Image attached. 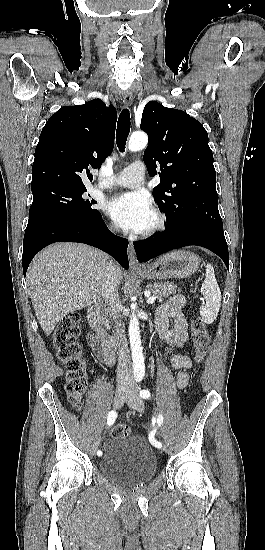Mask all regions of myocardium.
Here are the masks:
<instances>
[{"label": "myocardium", "instance_id": "obj_1", "mask_svg": "<svg viewBox=\"0 0 265 550\" xmlns=\"http://www.w3.org/2000/svg\"><path fill=\"white\" fill-rule=\"evenodd\" d=\"M152 215L154 217L153 225L141 232V235L144 237L153 236L162 231L166 226V217L164 214L158 210H153Z\"/></svg>", "mask_w": 265, "mask_h": 550}]
</instances>
